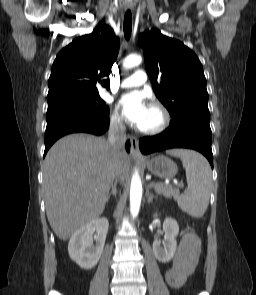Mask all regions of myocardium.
Here are the masks:
<instances>
[{
    "instance_id": "1",
    "label": "myocardium",
    "mask_w": 256,
    "mask_h": 295,
    "mask_svg": "<svg viewBox=\"0 0 256 295\" xmlns=\"http://www.w3.org/2000/svg\"><path fill=\"white\" fill-rule=\"evenodd\" d=\"M150 108L155 110L159 116V121L156 125L149 128L138 127V130L142 134L155 135L163 132L170 123V115L167 109L159 102H152Z\"/></svg>"
}]
</instances>
